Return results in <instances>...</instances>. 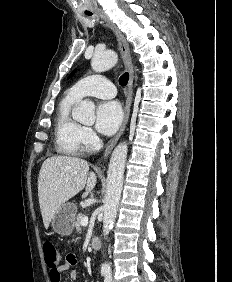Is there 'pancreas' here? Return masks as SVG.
Here are the masks:
<instances>
[{
    "instance_id": "obj_1",
    "label": "pancreas",
    "mask_w": 232,
    "mask_h": 282,
    "mask_svg": "<svg viewBox=\"0 0 232 282\" xmlns=\"http://www.w3.org/2000/svg\"><path fill=\"white\" fill-rule=\"evenodd\" d=\"M84 216H85V215L82 214V213H79V214L76 216L75 228H76V231H77V232H80V231H81V228H82L81 219H82Z\"/></svg>"
}]
</instances>
